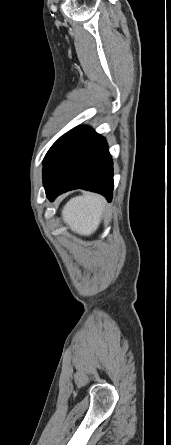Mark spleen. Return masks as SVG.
<instances>
[{
    "mask_svg": "<svg viewBox=\"0 0 171 445\" xmlns=\"http://www.w3.org/2000/svg\"><path fill=\"white\" fill-rule=\"evenodd\" d=\"M105 207L103 197L87 193L68 201L62 209V217L72 231L89 236L97 230Z\"/></svg>",
    "mask_w": 171,
    "mask_h": 445,
    "instance_id": "obj_1",
    "label": "spleen"
}]
</instances>
